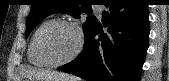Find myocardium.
Listing matches in <instances>:
<instances>
[{
    "label": "myocardium",
    "instance_id": "obj_1",
    "mask_svg": "<svg viewBox=\"0 0 169 81\" xmlns=\"http://www.w3.org/2000/svg\"><path fill=\"white\" fill-rule=\"evenodd\" d=\"M61 25L72 27L76 31L78 37L77 46L75 50L71 53V55H69L67 58L60 61H50L46 57L43 50V38L45 37L47 32L50 31L52 28ZM83 46H84V34L81 27L76 22L65 19L54 20L50 22L48 25H46L39 33L36 41V50L38 56L44 62V64L49 67H59L73 61L81 53Z\"/></svg>",
    "mask_w": 169,
    "mask_h": 81
}]
</instances>
